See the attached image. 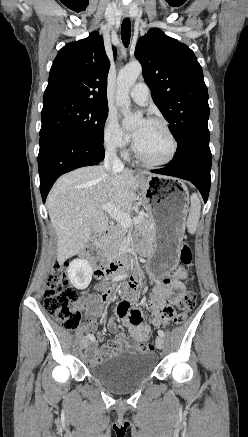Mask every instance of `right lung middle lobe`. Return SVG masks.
Here are the masks:
<instances>
[{
	"label": "right lung middle lobe",
	"mask_w": 248,
	"mask_h": 437,
	"mask_svg": "<svg viewBox=\"0 0 248 437\" xmlns=\"http://www.w3.org/2000/svg\"><path fill=\"white\" fill-rule=\"evenodd\" d=\"M108 106H97L72 98L43 99L40 135L66 131L103 144Z\"/></svg>",
	"instance_id": "right-lung-middle-lobe-1"
}]
</instances>
